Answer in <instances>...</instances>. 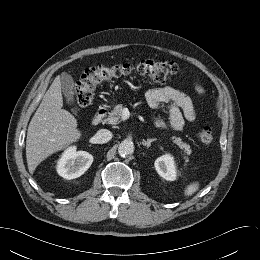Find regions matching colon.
Instances as JSON below:
<instances>
[{"label":"colon","mask_w":260,"mask_h":260,"mask_svg":"<svg viewBox=\"0 0 260 260\" xmlns=\"http://www.w3.org/2000/svg\"><path fill=\"white\" fill-rule=\"evenodd\" d=\"M180 72L179 66L171 61L145 60L138 63H125L116 65H96L88 68L75 84L72 111L77 113L81 108L89 105L97 87L109 80L124 77H142L152 82L165 83ZM203 144L214 141V132L211 127H203L198 134Z\"/></svg>","instance_id":"1"}]
</instances>
